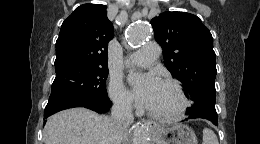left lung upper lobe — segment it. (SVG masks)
<instances>
[{"label": "left lung upper lobe", "instance_id": "left-lung-upper-lobe-1", "mask_svg": "<svg viewBox=\"0 0 260 144\" xmlns=\"http://www.w3.org/2000/svg\"><path fill=\"white\" fill-rule=\"evenodd\" d=\"M151 25L163 48L165 66L194 101L187 109L189 116L216 113V55L208 28L193 14L169 11L153 18Z\"/></svg>", "mask_w": 260, "mask_h": 144}]
</instances>
